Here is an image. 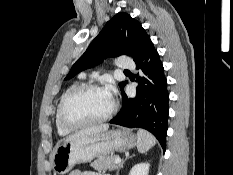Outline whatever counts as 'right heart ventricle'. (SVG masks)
I'll return each instance as SVG.
<instances>
[{"label":"right heart ventricle","mask_w":233,"mask_h":175,"mask_svg":"<svg viewBox=\"0 0 233 175\" xmlns=\"http://www.w3.org/2000/svg\"><path fill=\"white\" fill-rule=\"evenodd\" d=\"M78 82H75L73 84H71L70 86H68L64 91L63 93L61 94L60 96V99L58 101V104L56 106V110H55V125H56V128H57V132L60 134V135H67L71 132L70 129L68 128H65L59 121V117H58V110H59V105L62 101V99L65 97V95L71 91L73 88H75L76 86H78Z\"/></svg>","instance_id":"obj_1"}]
</instances>
